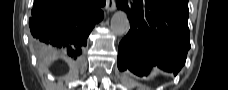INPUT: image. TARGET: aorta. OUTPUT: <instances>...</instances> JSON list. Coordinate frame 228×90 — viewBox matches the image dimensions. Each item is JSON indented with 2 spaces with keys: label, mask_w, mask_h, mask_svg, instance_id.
<instances>
[{
  "label": "aorta",
  "mask_w": 228,
  "mask_h": 90,
  "mask_svg": "<svg viewBox=\"0 0 228 90\" xmlns=\"http://www.w3.org/2000/svg\"><path fill=\"white\" fill-rule=\"evenodd\" d=\"M111 29L118 36L125 35L129 31V20L123 11H118L113 15Z\"/></svg>",
  "instance_id": "obj_1"
}]
</instances>
